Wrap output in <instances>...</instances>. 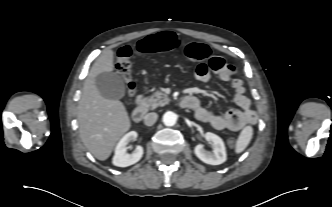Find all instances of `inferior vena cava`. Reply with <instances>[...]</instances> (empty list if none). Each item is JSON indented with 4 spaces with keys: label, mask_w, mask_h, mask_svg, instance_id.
<instances>
[{
    "label": "inferior vena cava",
    "mask_w": 332,
    "mask_h": 207,
    "mask_svg": "<svg viewBox=\"0 0 332 207\" xmlns=\"http://www.w3.org/2000/svg\"><path fill=\"white\" fill-rule=\"evenodd\" d=\"M157 118H158L157 113L155 112L148 113L144 118V124L147 126H152L156 122Z\"/></svg>",
    "instance_id": "1"
}]
</instances>
